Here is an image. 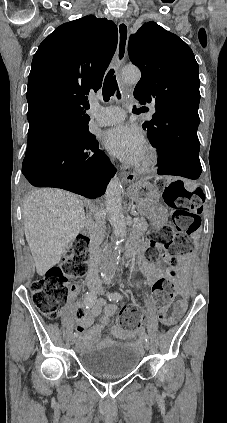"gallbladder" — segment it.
I'll return each mask as SVG.
<instances>
[{"label":"gallbladder","mask_w":227,"mask_h":423,"mask_svg":"<svg viewBox=\"0 0 227 423\" xmlns=\"http://www.w3.org/2000/svg\"><path fill=\"white\" fill-rule=\"evenodd\" d=\"M26 184H27V182H26ZM27 188H30L29 184H27Z\"/></svg>","instance_id":"bac80fb5"}]
</instances>
